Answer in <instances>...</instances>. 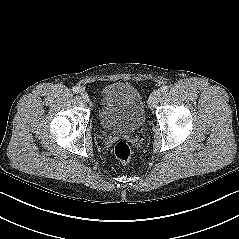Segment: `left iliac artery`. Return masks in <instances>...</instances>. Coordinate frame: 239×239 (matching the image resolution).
Returning <instances> with one entry per match:
<instances>
[{
	"label": "left iliac artery",
	"mask_w": 239,
	"mask_h": 239,
	"mask_svg": "<svg viewBox=\"0 0 239 239\" xmlns=\"http://www.w3.org/2000/svg\"><path fill=\"white\" fill-rule=\"evenodd\" d=\"M169 87L167 85H164L161 87V92L166 93L168 91Z\"/></svg>",
	"instance_id": "obj_1"
}]
</instances>
